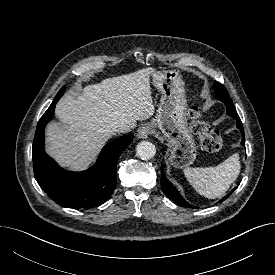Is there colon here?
Returning <instances> with one entry per match:
<instances>
[{
    "label": "colon",
    "mask_w": 275,
    "mask_h": 275,
    "mask_svg": "<svg viewBox=\"0 0 275 275\" xmlns=\"http://www.w3.org/2000/svg\"><path fill=\"white\" fill-rule=\"evenodd\" d=\"M188 116L191 119V129L198 136L202 147L210 152L220 150L222 147L220 133L202 118L198 107H191Z\"/></svg>",
    "instance_id": "5ec220e1"
}]
</instances>
